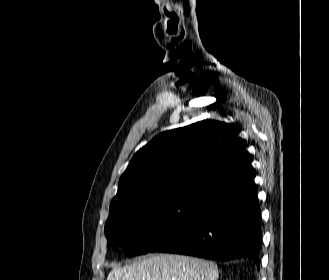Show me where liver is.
<instances>
[{
    "instance_id": "liver-1",
    "label": "liver",
    "mask_w": 329,
    "mask_h": 280,
    "mask_svg": "<svg viewBox=\"0 0 329 280\" xmlns=\"http://www.w3.org/2000/svg\"><path fill=\"white\" fill-rule=\"evenodd\" d=\"M212 262L177 254H153L124 267L114 266L107 280H217Z\"/></svg>"
}]
</instances>
